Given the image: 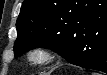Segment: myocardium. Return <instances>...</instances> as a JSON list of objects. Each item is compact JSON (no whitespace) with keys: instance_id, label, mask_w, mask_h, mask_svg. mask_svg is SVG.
Listing matches in <instances>:
<instances>
[{"instance_id":"f54148a6","label":"myocardium","mask_w":107,"mask_h":75,"mask_svg":"<svg viewBox=\"0 0 107 75\" xmlns=\"http://www.w3.org/2000/svg\"><path fill=\"white\" fill-rule=\"evenodd\" d=\"M26 61L33 66H43L54 62L56 53L45 46H34L27 50Z\"/></svg>"}]
</instances>
